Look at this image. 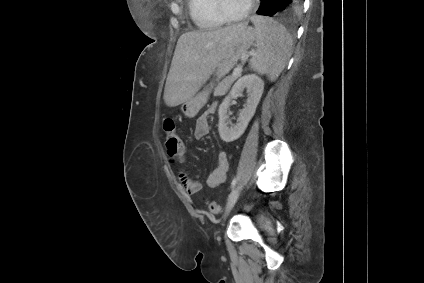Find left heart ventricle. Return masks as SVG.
<instances>
[{
	"label": "left heart ventricle",
	"mask_w": 424,
	"mask_h": 283,
	"mask_svg": "<svg viewBox=\"0 0 424 283\" xmlns=\"http://www.w3.org/2000/svg\"><path fill=\"white\" fill-rule=\"evenodd\" d=\"M250 0H224L227 10L231 14H240L246 10Z\"/></svg>",
	"instance_id": "left-heart-ventricle-1"
}]
</instances>
